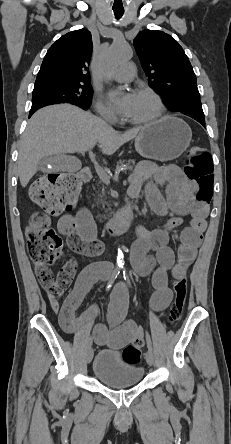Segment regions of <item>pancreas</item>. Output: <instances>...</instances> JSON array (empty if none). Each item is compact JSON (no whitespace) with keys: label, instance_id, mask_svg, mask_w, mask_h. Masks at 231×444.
Segmentation results:
<instances>
[{"label":"pancreas","instance_id":"pancreas-1","mask_svg":"<svg viewBox=\"0 0 231 444\" xmlns=\"http://www.w3.org/2000/svg\"><path fill=\"white\" fill-rule=\"evenodd\" d=\"M135 164H136L135 160H123L117 163V167L126 168L131 171L135 167Z\"/></svg>","mask_w":231,"mask_h":444}]
</instances>
